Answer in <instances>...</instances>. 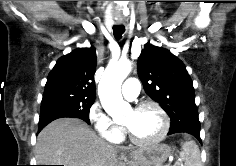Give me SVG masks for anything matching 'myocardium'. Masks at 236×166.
<instances>
[{
  "label": "myocardium",
  "instance_id": "myocardium-1",
  "mask_svg": "<svg viewBox=\"0 0 236 166\" xmlns=\"http://www.w3.org/2000/svg\"><path fill=\"white\" fill-rule=\"evenodd\" d=\"M148 107L156 109L158 113L161 115L162 130L158 136L150 140H140L131 132V130L127 126L124 125L125 133L127 134L130 141L139 146H152L160 143L168 134L170 127V120L167 112L163 109V107L159 103L155 101L147 100L140 102L133 108V111L139 112Z\"/></svg>",
  "mask_w": 236,
  "mask_h": 166
}]
</instances>
